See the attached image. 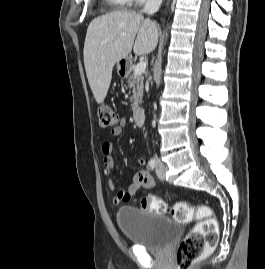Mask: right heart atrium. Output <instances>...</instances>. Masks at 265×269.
<instances>
[{
	"instance_id": "1",
	"label": "right heart atrium",
	"mask_w": 265,
	"mask_h": 269,
	"mask_svg": "<svg viewBox=\"0 0 265 269\" xmlns=\"http://www.w3.org/2000/svg\"><path fill=\"white\" fill-rule=\"evenodd\" d=\"M147 1H152V0H131V2L135 3V4H142V3L147 2Z\"/></svg>"
}]
</instances>
